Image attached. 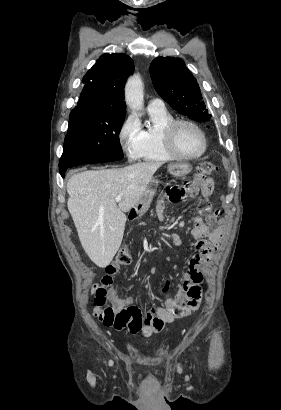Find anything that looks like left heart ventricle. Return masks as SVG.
Segmentation results:
<instances>
[{"label":"left heart ventricle","mask_w":281,"mask_h":410,"mask_svg":"<svg viewBox=\"0 0 281 410\" xmlns=\"http://www.w3.org/2000/svg\"><path fill=\"white\" fill-rule=\"evenodd\" d=\"M177 148L186 155L197 154L203 146L200 133L190 125H180L174 135Z\"/></svg>","instance_id":"obj_1"}]
</instances>
